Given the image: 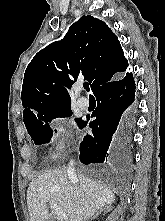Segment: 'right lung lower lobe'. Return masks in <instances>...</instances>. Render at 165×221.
Returning a JSON list of instances; mask_svg holds the SVG:
<instances>
[{"label":"right lung lower lobe","instance_id":"98d812e1","mask_svg":"<svg viewBox=\"0 0 165 221\" xmlns=\"http://www.w3.org/2000/svg\"><path fill=\"white\" fill-rule=\"evenodd\" d=\"M96 119L89 124L93 129L80 144V161L84 164L111 163L124 167L131 160L133 120L125 110L134 101L135 82L127 73L121 78L100 86L95 92ZM87 125L84 121L80 128Z\"/></svg>","mask_w":165,"mask_h":221}]
</instances>
